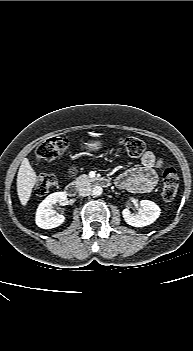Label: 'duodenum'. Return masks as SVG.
<instances>
[{
	"mask_svg": "<svg viewBox=\"0 0 193 351\" xmlns=\"http://www.w3.org/2000/svg\"><path fill=\"white\" fill-rule=\"evenodd\" d=\"M97 182H99L100 184L106 186L109 184V181L105 178H100V179H96ZM66 193L71 196V197H74L77 195L78 193V187H77V184L76 183H69L67 186H66Z\"/></svg>",
	"mask_w": 193,
	"mask_h": 351,
	"instance_id": "obj_1",
	"label": "duodenum"
}]
</instances>
